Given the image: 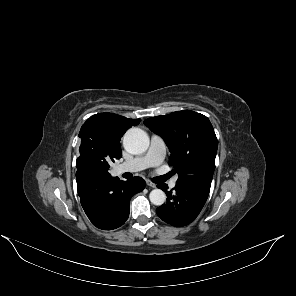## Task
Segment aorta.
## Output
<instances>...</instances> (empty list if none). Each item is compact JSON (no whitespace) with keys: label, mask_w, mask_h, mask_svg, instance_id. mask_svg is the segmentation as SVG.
<instances>
[{"label":"aorta","mask_w":296,"mask_h":296,"mask_svg":"<svg viewBox=\"0 0 296 296\" xmlns=\"http://www.w3.org/2000/svg\"><path fill=\"white\" fill-rule=\"evenodd\" d=\"M123 145L131 154H142L148 149L149 137L144 130L131 128L124 135ZM149 199L152 204L161 206L166 201V194L161 189H154L150 192Z\"/></svg>","instance_id":"aorta-1"}]
</instances>
